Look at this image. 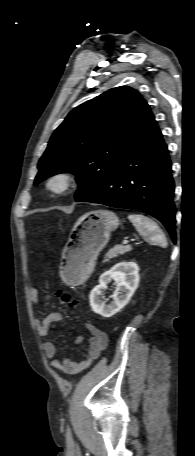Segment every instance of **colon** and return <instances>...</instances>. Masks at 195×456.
I'll return each mask as SVG.
<instances>
[{
	"mask_svg": "<svg viewBox=\"0 0 195 456\" xmlns=\"http://www.w3.org/2000/svg\"><path fill=\"white\" fill-rule=\"evenodd\" d=\"M58 296L62 303L67 304L69 306L74 305V301L71 299L70 295L64 293H58Z\"/></svg>",
	"mask_w": 195,
	"mask_h": 456,
	"instance_id": "colon-1",
	"label": "colon"
}]
</instances>
